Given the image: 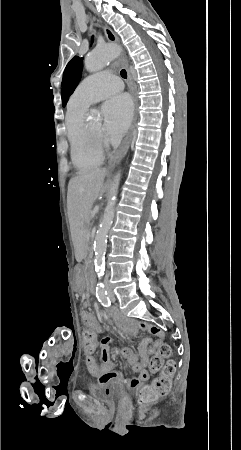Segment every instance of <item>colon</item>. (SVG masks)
I'll use <instances>...</instances> for the list:
<instances>
[{
    "label": "colon",
    "instance_id": "1",
    "mask_svg": "<svg viewBox=\"0 0 241 450\" xmlns=\"http://www.w3.org/2000/svg\"><path fill=\"white\" fill-rule=\"evenodd\" d=\"M98 346V339L91 330L81 331L79 333V347L84 348L86 354H91L93 348ZM170 349L163 344L159 347L157 353L153 356V371H158L163 361L169 357ZM173 361H168L165 368L162 369V375L157 377L151 384L140 389L138 394V405L144 406L159 401L166 395L170 388V374L175 369Z\"/></svg>",
    "mask_w": 241,
    "mask_h": 450
}]
</instances>
